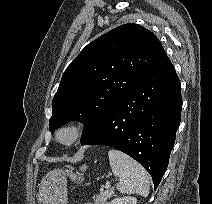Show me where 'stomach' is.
Returning <instances> with one entry per match:
<instances>
[{"label": "stomach", "mask_w": 212, "mask_h": 204, "mask_svg": "<svg viewBox=\"0 0 212 204\" xmlns=\"http://www.w3.org/2000/svg\"><path fill=\"white\" fill-rule=\"evenodd\" d=\"M67 177L80 183L82 175L71 170L55 169L42 179L38 192L39 204H67Z\"/></svg>", "instance_id": "0dacf381"}]
</instances>
